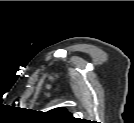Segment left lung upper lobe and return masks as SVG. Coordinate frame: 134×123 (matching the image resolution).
<instances>
[{
  "label": "left lung upper lobe",
  "mask_w": 134,
  "mask_h": 123,
  "mask_svg": "<svg viewBox=\"0 0 134 123\" xmlns=\"http://www.w3.org/2000/svg\"><path fill=\"white\" fill-rule=\"evenodd\" d=\"M52 115L57 116L62 119L74 120V117L71 116V113L68 112L65 108H55L49 111Z\"/></svg>",
  "instance_id": "1"
}]
</instances>
